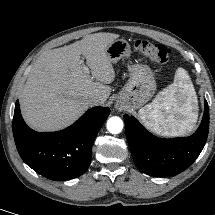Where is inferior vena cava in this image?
<instances>
[{"label":"inferior vena cava","instance_id":"602c4592","mask_svg":"<svg viewBox=\"0 0 215 215\" xmlns=\"http://www.w3.org/2000/svg\"><path fill=\"white\" fill-rule=\"evenodd\" d=\"M102 103H103V100L98 96H90L88 98V104L90 106L101 105Z\"/></svg>","mask_w":215,"mask_h":215}]
</instances>
